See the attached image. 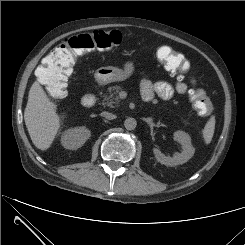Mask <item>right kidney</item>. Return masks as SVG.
<instances>
[{
	"instance_id": "ca27d5eb",
	"label": "right kidney",
	"mask_w": 245,
	"mask_h": 245,
	"mask_svg": "<svg viewBox=\"0 0 245 245\" xmlns=\"http://www.w3.org/2000/svg\"><path fill=\"white\" fill-rule=\"evenodd\" d=\"M90 135V130L83 126L68 129L61 136V144L66 149L75 150L83 146Z\"/></svg>"
}]
</instances>
